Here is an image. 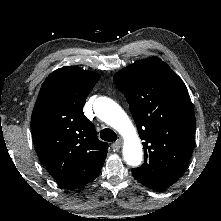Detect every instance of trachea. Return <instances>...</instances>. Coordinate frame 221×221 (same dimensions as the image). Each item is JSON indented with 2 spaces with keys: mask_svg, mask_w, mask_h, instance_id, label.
Instances as JSON below:
<instances>
[{
  "mask_svg": "<svg viewBox=\"0 0 221 221\" xmlns=\"http://www.w3.org/2000/svg\"><path fill=\"white\" fill-rule=\"evenodd\" d=\"M100 137L102 140L108 141V142H113L117 140L116 133L112 129H109V128L103 129L100 133Z\"/></svg>",
  "mask_w": 221,
  "mask_h": 221,
  "instance_id": "3493384b",
  "label": "trachea"
}]
</instances>
